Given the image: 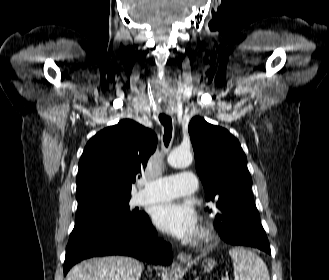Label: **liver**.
I'll use <instances>...</instances> for the list:
<instances>
[{
    "label": "liver",
    "instance_id": "liver-1",
    "mask_svg": "<svg viewBox=\"0 0 329 280\" xmlns=\"http://www.w3.org/2000/svg\"><path fill=\"white\" fill-rule=\"evenodd\" d=\"M143 267L130 257L93 258L73 267L66 280H139Z\"/></svg>",
    "mask_w": 329,
    "mask_h": 280
}]
</instances>
